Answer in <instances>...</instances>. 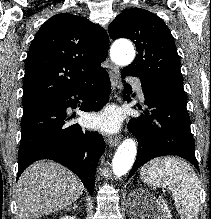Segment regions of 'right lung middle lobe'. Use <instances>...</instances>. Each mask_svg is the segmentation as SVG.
<instances>
[{
  "instance_id": "obj_1",
  "label": "right lung middle lobe",
  "mask_w": 211,
  "mask_h": 219,
  "mask_svg": "<svg viewBox=\"0 0 211 219\" xmlns=\"http://www.w3.org/2000/svg\"><path fill=\"white\" fill-rule=\"evenodd\" d=\"M40 105H42V104L23 106V112H26V111H28V110L34 109V108H36V107H38V106H40Z\"/></svg>"
}]
</instances>
